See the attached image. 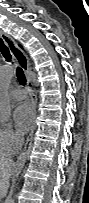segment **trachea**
<instances>
[{
	"mask_svg": "<svg viewBox=\"0 0 89 203\" xmlns=\"http://www.w3.org/2000/svg\"><path fill=\"white\" fill-rule=\"evenodd\" d=\"M0 52L2 53V55L4 56V58L11 62L12 61V56L10 54V51L8 49V47L4 44L3 40L0 38ZM16 75L17 78L20 82L21 85H25L26 84V78H25V74L22 68L17 67L16 69Z\"/></svg>",
	"mask_w": 89,
	"mask_h": 203,
	"instance_id": "trachea-1",
	"label": "trachea"
}]
</instances>
